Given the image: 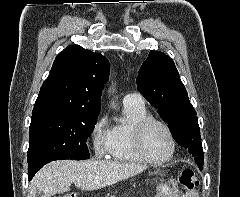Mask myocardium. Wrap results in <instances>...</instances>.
<instances>
[{"mask_svg": "<svg viewBox=\"0 0 240 197\" xmlns=\"http://www.w3.org/2000/svg\"><path fill=\"white\" fill-rule=\"evenodd\" d=\"M151 124L160 125L168 134L170 142H171L170 154L166 158L161 159V160H156V159H153L152 157H150L144 146V133ZM131 139H132V144H133V147H134L136 153L145 162H147L149 164H153V165H163V164L170 162L174 158L176 150H177V142H176L174 133H173L172 129L170 128V126L163 120L156 118V117H152V116H147V117L139 120L132 126Z\"/></svg>", "mask_w": 240, "mask_h": 197, "instance_id": "obj_1", "label": "myocardium"}]
</instances>
